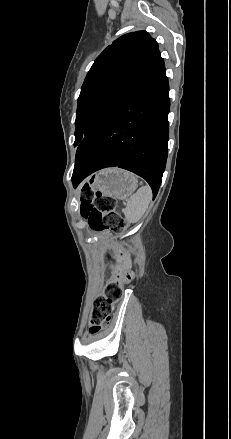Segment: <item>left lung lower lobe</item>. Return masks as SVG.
Returning <instances> with one entry per match:
<instances>
[{
    "label": "left lung lower lobe",
    "instance_id": "left-lung-lower-lobe-1",
    "mask_svg": "<svg viewBox=\"0 0 231 439\" xmlns=\"http://www.w3.org/2000/svg\"><path fill=\"white\" fill-rule=\"evenodd\" d=\"M165 65L141 80L78 145L72 180L118 166L143 177L157 195L167 160L170 99Z\"/></svg>",
    "mask_w": 231,
    "mask_h": 439
}]
</instances>
